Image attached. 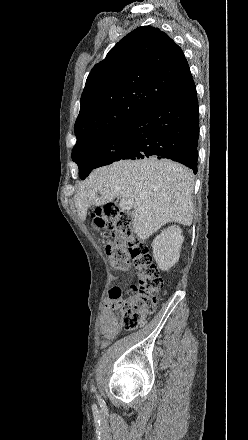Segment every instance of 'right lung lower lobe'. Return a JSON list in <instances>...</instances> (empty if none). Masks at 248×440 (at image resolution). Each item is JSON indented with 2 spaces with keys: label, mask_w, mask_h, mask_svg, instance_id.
Here are the masks:
<instances>
[{
  "label": "right lung lower lobe",
  "mask_w": 248,
  "mask_h": 440,
  "mask_svg": "<svg viewBox=\"0 0 248 440\" xmlns=\"http://www.w3.org/2000/svg\"><path fill=\"white\" fill-rule=\"evenodd\" d=\"M198 114L196 87L152 104L127 124L130 143L121 159L167 158L196 174Z\"/></svg>",
  "instance_id": "obj_1"
}]
</instances>
